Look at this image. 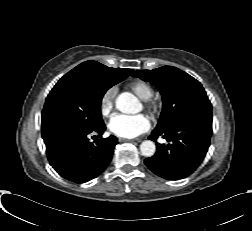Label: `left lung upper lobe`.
I'll return each instance as SVG.
<instances>
[{"label": "left lung upper lobe", "instance_id": "obj_1", "mask_svg": "<svg viewBox=\"0 0 252 231\" xmlns=\"http://www.w3.org/2000/svg\"><path fill=\"white\" fill-rule=\"evenodd\" d=\"M133 76L158 88L163 98V110L154 131H163L175 122L194 115L212 117V105L200 82L172 66L135 71Z\"/></svg>", "mask_w": 252, "mask_h": 231}]
</instances>
